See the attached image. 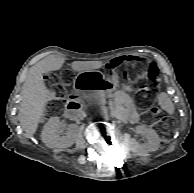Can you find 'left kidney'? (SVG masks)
Here are the masks:
<instances>
[{"label":"left kidney","instance_id":"obj_1","mask_svg":"<svg viewBox=\"0 0 194 193\" xmlns=\"http://www.w3.org/2000/svg\"><path fill=\"white\" fill-rule=\"evenodd\" d=\"M136 132L147 139L146 143L140 144L136 140L130 141V149L137 155L144 156L149 152L156 151L159 148L160 138L155 130L147 128L146 126H137Z\"/></svg>","mask_w":194,"mask_h":193}]
</instances>
